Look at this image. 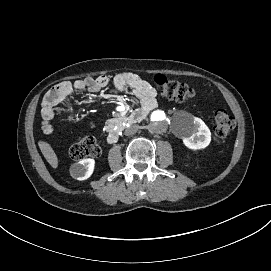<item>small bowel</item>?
I'll use <instances>...</instances> for the list:
<instances>
[{
	"instance_id": "1",
	"label": "small bowel",
	"mask_w": 271,
	"mask_h": 271,
	"mask_svg": "<svg viewBox=\"0 0 271 271\" xmlns=\"http://www.w3.org/2000/svg\"><path fill=\"white\" fill-rule=\"evenodd\" d=\"M110 83L109 77H87L74 82L65 81L51 88L45 95L42 103L43 129L46 134L53 132L51 124L55 113L62 110V105L68 97L76 94L99 93L106 89ZM113 85L119 92L131 94L137 98L144 109L150 110L157 105L156 90L140 76L132 72L117 74L113 79ZM79 115V110L71 113L72 117Z\"/></svg>"
}]
</instances>
